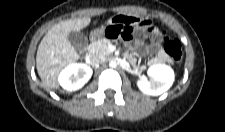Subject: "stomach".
Instances as JSON below:
<instances>
[{
	"mask_svg": "<svg viewBox=\"0 0 225 132\" xmlns=\"http://www.w3.org/2000/svg\"><path fill=\"white\" fill-rule=\"evenodd\" d=\"M111 23V22H110ZM105 33V27H100L91 32V37L93 40L101 38Z\"/></svg>",
	"mask_w": 225,
	"mask_h": 132,
	"instance_id": "stomach-1",
	"label": "stomach"
}]
</instances>
